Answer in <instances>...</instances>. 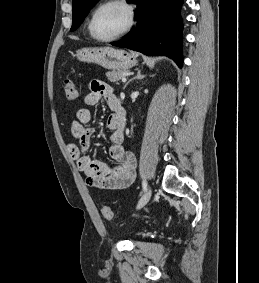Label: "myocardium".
Returning a JSON list of instances; mask_svg holds the SVG:
<instances>
[{
  "instance_id": "myocardium-1",
  "label": "myocardium",
  "mask_w": 259,
  "mask_h": 283,
  "mask_svg": "<svg viewBox=\"0 0 259 283\" xmlns=\"http://www.w3.org/2000/svg\"><path fill=\"white\" fill-rule=\"evenodd\" d=\"M111 4L121 5L126 10L127 17H128L127 24L116 35L109 37V38H100V37L96 36L94 34V31H93L94 19H95L97 13L102 8H104L105 6L111 5ZM134 23H135V9L128 0H104L99 5H97L96 8L92 11V14L90 16L89 23H88V31H89L91 37L98 42H105V43L106 42H112V41L117 40V39L123 37L124 35H126L132 29Z\"/></svg>"
}]
</instances>
